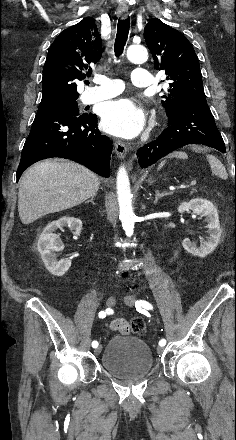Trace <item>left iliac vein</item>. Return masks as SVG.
<instances>
[{
  "mask_svg": "<svg viewBox=\"0 0 236 440\" xmlns=\"http://www.w3.org/2000/svg\"><path fill=\"white\" fill-rule=\"evenodd\" d=\"M124 302H125V304L128 305V306H134V303H135V297H134L133 295H126L125 298H124ZM163 350H164V348H163L162 346H159V347L157 348V352H158V353H162Z\"/></svg>",
  "mask_w": 236,
  "mask_h": 440,
  "instance_id": "1",
  "label": "left iliac vein"
}]
</instances>
